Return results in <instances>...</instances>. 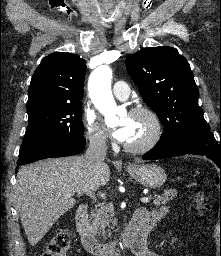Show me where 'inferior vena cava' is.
Listing matches in <instances>:
<instances>
[{"label":"inferior vena cava","mask_w":221,"mask_h":256,"mask_svg":"<svg viewBox=\"0 0 221 256\" xmlns=\"http://www.w3.org/2000/svg\"><path fill=\"white\" fill-rule=\"evenodd\" d=\"M107 145L103 135H92L89 137V147L85 154L90 169L100 170L106 158Z\"/></svg>","instance_id":"obj_1"}]
</instances>
